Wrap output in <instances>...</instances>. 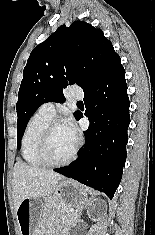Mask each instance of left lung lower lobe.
<instances>
[{"instance_id":"0a47b994","label":"left lung lower lobe","mask_w":155,"mask_h":235,"mask_svg":"<svg viewBox=\"0 0 155 235\" xmlns=\"http://www.w3.org/2000/svg\"><path fill=\"white\" fill-rule=\"evenodd\" d=\"M84 94L85 116L90 121L84 131L85 145L75 162L54 171L112 199L122 178L130 124V102L120 57ZM82 117L80 113L77 120Z\"/></svg>"}]
</instances>
